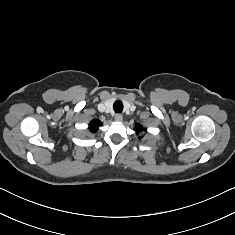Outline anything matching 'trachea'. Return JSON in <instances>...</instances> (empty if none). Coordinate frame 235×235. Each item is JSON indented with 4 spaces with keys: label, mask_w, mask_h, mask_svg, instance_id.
Segmentation results:
<instances>
[{
    "label": "trachea",
    "mask_w": 235,
    "mask_h": 235,
    "mask_svg": "<svg viewBox=\"0 0 235 235\" xmlns=\"http://www.w3.org/2000/svg\"><path fill=\"white\" fill-rule=\"evenodd\" d=\"M113 109L116 113H121L123 111V103L121 101H115L113 104Z\"/></svg>",
    "instance_id": "3493384b"
}]
</instances>
